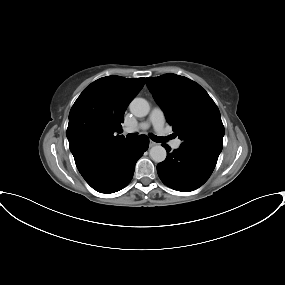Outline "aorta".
<instances>
[{
	"mask_svg": "<svg viewBox=\"0 0 285 285\" xmlns=\"http://www.w3.org/2000/svg\"><path fill=\"white\" fill-rule=\"evenodd\" d=\"M129 108L136 117H145L150 111L149 103L143 98H134ZM149 155L154 162L160 163L166 159L167 152L163 146L156 145L150 149Z\"/></svg>",
	"mask_w": 285,
	"mask_h": 285,
	"instance_id": "762f6f07",
	"label": "aorta"
}]
</instances>
